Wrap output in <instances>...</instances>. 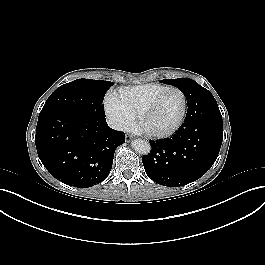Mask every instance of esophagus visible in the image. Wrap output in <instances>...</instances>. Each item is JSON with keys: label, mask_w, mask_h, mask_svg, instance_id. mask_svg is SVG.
Wrapping results in <instances>:
<instances>
[{"label": "esophagus", "mask_w": 265, "mask_h": 265, "mask_svg": "<svg viewBox=\"0 0 265 265\" xmlns=\"http://www.w3.org/2000/svg\"><path fill=\"white\" fill-rule=\"evenodd\" d=\"M135 136L134 135H130L129 138H134Z\"/></svg>", "instance_id": "esophagus-1"}]
</instances>
